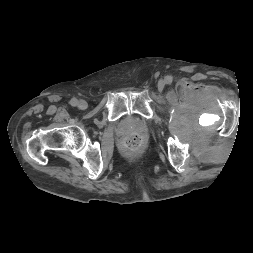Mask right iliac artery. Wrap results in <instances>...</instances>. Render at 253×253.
Wrapping results in <instances>:
<instances>
[{"label": "right iliac artery", "instance_id": "82829eb1", "mask_svg": "<svg viewBox=\"0 0 253 253\" xmlns=\"http://www.w3.org/2000/svg\"><path fill=\"white\" fill-rule=\"evenodd\" d=\"M70 104H71L72 106H77V105H78V100H77L76 98H72V99L70 100Z\"/></svg>", "mask_w": 253, "mask_h": 253}]
</instances>
